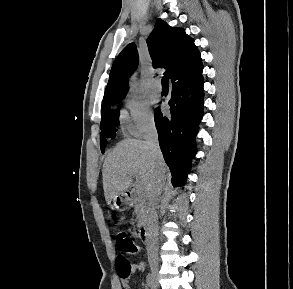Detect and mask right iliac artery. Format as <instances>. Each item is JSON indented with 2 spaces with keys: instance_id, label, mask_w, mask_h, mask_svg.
<instances>
[{
  "instance_id": "82829eb1",
  "label": "right iliac artery",
  "mask_w": 293,
  "mask_h": 289,
  "mask_svg": "<svg viewBox=\"0 0 293 289\" xmlns=\"http://www.w3.org/2000/svg\"><path fill=\"white\" fill-rule=\"evenodd\" d=\"M146 282L149 287L153 288V282L150 273L147 275Z\"/></svg>"
}]
</instances>
